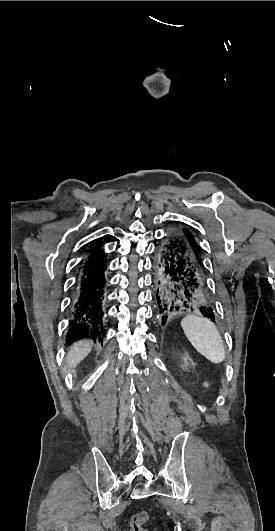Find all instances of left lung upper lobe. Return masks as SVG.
Returning <instances> with one entry per match:
<instances>
[{
    "label": "left lung upper lobe",
    "mask_w": 275,
    "mask_h": 531,
    "mask_svg": "<svg viewBox=\"0 0 275 531\" xmlns=\"http://www.w3.org/2000/svg\"><path fill=\"white\" fill-rule=\"evenodd\" d=\"M182 233L185 235V237L187 238V240L189 241L194 253H195V256L198 260V262L201 264V260H200V256H199V252H198V246H197V243L194 239V237L192 236V234L186 230V229H183L182 230Z\"/></svg>",
    "instance_id": "5c2ea615"
}]
</instances>
